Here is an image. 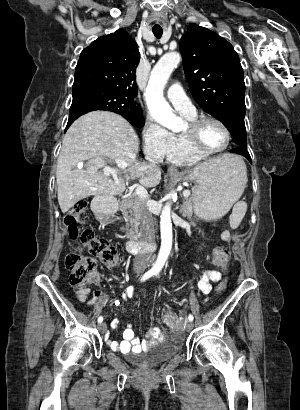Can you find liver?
Instances as JSON below:
<instances>
[{
  "mask_svg": "<svg viewBox=\"0 0 300 410\" xmlns=\"http://www.w3.org/2000/svg\"><path fill=\"white\" fill-rule=\"evenodd\" d=\"M139 140L132 126L121 116L105 111H94L78 118L64 136L57 162L56 182L58 202L63 213L77 202L90 196L118 195L125 190V181L137 179L145 187L157 186L161 171L152 163L136 160ZM122 160L127 164L125 176L115 177L98 172L106 160ZM234 159L224 154L208 160L201 167L217 165ZM88 161L86 169H74Z\"/></svg>",
  "mask_w": 300,
  "mask_h": 410,
  "instance_id": "1",
  "label": "liver"
}]
</instances>
